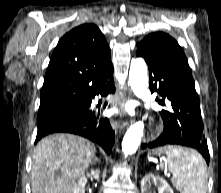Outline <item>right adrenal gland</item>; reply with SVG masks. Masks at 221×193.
<instances>
[{
    "label": "right adrenal gland",
    "mask_w": 221,
    "mask_h": 193,
    "mask_svg": "<svg viewBox=\"0 0 221 193\" xmlns=\"http://www.w3.org/2000/svg\"><path fill=\"white\" fill-rule=\"evenodd\" d=\"M93 161H94V163H95V162H100V160H99L98 157H95V158L93 159Z\"/></svg>",
    "instance_id": "1"
}]
</instances>
